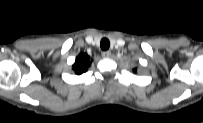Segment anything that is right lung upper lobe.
<instances>
[{
	"label": "right lung upper lobe",
	"mask_w": 203,
	"mask_h": 123,
	"mask_svg": "<svg viewBox=\"0 0 203 123\" xmlns=\"http://www.w3.org/2000/svg\"><path fill=\"white\" fill-rule=\"evenodd\" d=\"M91 65L90 57L85 53H80L72 69L75 71L76 74L80 75L87 71L88 67Z\"/></svg>",
	"instance_id": "cb5924a9"
}]
</instances>
